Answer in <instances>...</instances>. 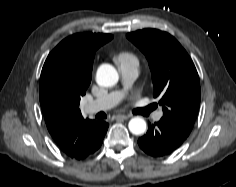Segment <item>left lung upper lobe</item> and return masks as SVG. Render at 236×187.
<instances>
[{"label":"left lung upper lobe","mask_w":236,"mask_h":187,"mask_svg":"<svg viewBox=\"0 0 236 187\" xmlns=\"http://www.w3.org/2000/svg\"><path fill=\"white\" fill-rule=\"evenodd\" d=\"M127 38L146 56L154 86V97H161V119L190 134L200 106V81L193 61L170 34L143 29Z\"/></svg>","instance_id":"obj_1"}]
</instances>
